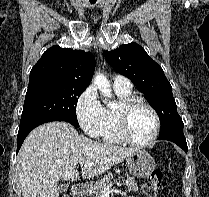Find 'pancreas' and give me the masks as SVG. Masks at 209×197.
<instances>
[{
  "instance_id": "pancreas-1",
  "label": "pancreas",
  "mask_w": 209,
  "mask_h": 197,
  "mask_svg": "<svg viewBox=\"0 0 209 197\" xmlns=\"http://www.w3.org/2000/svg\"><path fill=\"white\" fill-rule=\"evenodd\" d=\"M113 178V174L109 173L107 175H104L101 180H97L95 184L91 185L88 189L89 194H91L93 197H101V193L103 190V184L109 183L111 179ZM127 190L129 192H137L138 186L136 180L131 177L127 176Z\"/></svg>"
}]
</instances>
